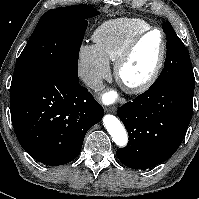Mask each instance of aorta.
<instances>
[{
    "label": "aorta",
    "instance_id": "762f6f07",
    "mask_svg": "<svg viewBox=\"0 0 199 199\" xmlns=\"http://www.w3.org/2000/svg\"><path fill=\"white\" fill-rule=\"evenodd\" d=\"M103 124L116 145L119 147H125L127 145V132L117 117L113 115H105L103 118Z\"/></svg>",
    "mask_w": 199,
    "mask_h": 199
}]
</instances>
